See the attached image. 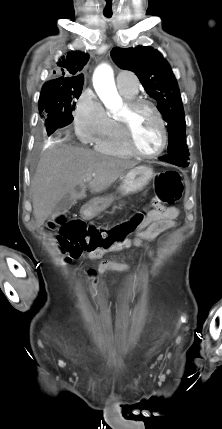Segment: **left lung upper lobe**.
I'll list each match as a JSON object with an SVG mask.
<instances>
[{"mask_svg": "<svg viewBox=\"0 0 222 429\" xmlns=\"http://www.w3.org/2000/svg\"><path fill=\"white\" fill-rule=\"evenodd\" d=\"M111 57L121 69L134 72L145 91L157 101V108L168 124V154L189 157L181 95L176 78L162 54L149 46L115 47Z\"/></svg>", "mask_w": 222, "mask_h": 429, "instance_id": "left-lung-upper-lobe-1", "label": "left lung upper lobe"}]
</instances>
